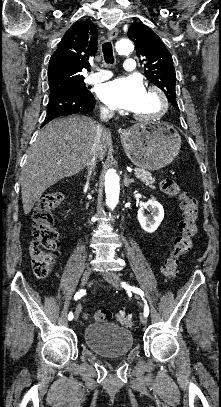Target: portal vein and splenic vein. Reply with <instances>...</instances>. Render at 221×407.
<instances>
[{
  "instance_id": "obj_1",
  "label": "portal vein and splenic vein",
  "mask_w": 221,
  "mask_h": 407,
  "mask_svg": "<svg viewBox=\"0 0 221 407\" xmlns=\"http://www.w3.org/2000/svg\"><path fill=\"white\" fill-rule=\"evenodd\" d=\"M136 176H138L139 175V173L137 172V171H135V173H134Z\"/></svg>"
}]
</instances>
